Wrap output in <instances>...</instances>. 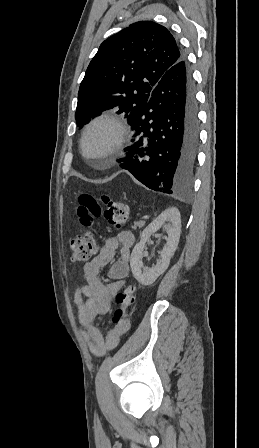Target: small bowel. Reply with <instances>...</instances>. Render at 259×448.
<instances>
[{
	"instance_id": "1",
	"label": "small bowel",
	"mask_w": 259,
	"mask_h": 448,
	"mask_svg": "<svg viewBox=\"0 0 259 448\" xmlns=\"http://www.w3.org/2000/svg\"><path fill=\"white\" fill-rule=\"evenodd\" d=\"M134 236L129 231H123L114 237L108 238L98 254L82 269L85 284L77 289L74 301L78 309L79 321L84 327L82 336L88 344L90 352L97 357L104 356L113 350L120 338L130 328L129 319L108 329L105 335L96 326L98 315L107 314L111 309L112 297L120 292L129 274V262ZM119 252V258L114 261ZM111 267L108 276L110 283L104 284L100 271L108 264Z\"/></svg>"
}]
</instances>
